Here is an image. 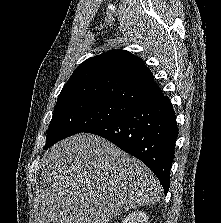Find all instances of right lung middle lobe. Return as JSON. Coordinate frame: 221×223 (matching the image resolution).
Returning a JSON list of instances; mask_svg holds the SVG:
<instances>
[{
	"label": "right lung middle lobe",
	"instance_id": "1",
	"mask_svg": "<svg viewBox=\"0 0 221 223\" xmlns=\"http://www.w3.org/2000/svg\"><path fill=\"white\" fill-rule=\"evenodd\" d=\"M134 106L101 97H81L59 102L54 109L44 149L71 135L108 122Z\"/></svg>",
	"mask_w": 221,
	"mask_h": 223
}]
</instances>
